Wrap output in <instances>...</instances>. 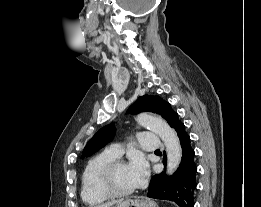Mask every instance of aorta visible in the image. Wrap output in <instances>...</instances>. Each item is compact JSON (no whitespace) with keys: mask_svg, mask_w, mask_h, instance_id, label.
<instances>
[{"mask_svg":"<svg viewBox=\"0 0 261 207\" xmlns=\"http://www.w3.org/2000/svg\"><path fill=\"white\" fill-rule=\"evenodd\" d=\"M136 121L139 125L149 128L164 142L167 153V174H173L182 159V149L176 132L163 119L148 113L139 114Z\"/></svg>","mask_w":261,"mask_h":207,"instance_id":"1","label":"aorta"}]
</instances>
